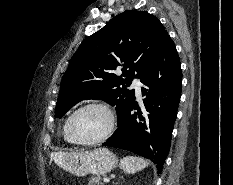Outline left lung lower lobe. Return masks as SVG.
<instances>
[{
  "mask_svg": "<svg viewBox=\"0 0 233 185\" xmlns=\"http://www.w3.org/2000/svg\"><path fill=\"white\" fill-rule=\"evenodd\" d=\"M140 79L146 86L142 87L144 108L141 111L133 102L103 145L150 159L161 173L170 150L182 88L180 59L170 36ZM133 109L137 113L132 114Z\"/></svg>",
  "mask_w": 233,
  "mask_h": 185,
  "instance_id": "1",
  "label": "left lung lower lobe"
}]
</instances>
